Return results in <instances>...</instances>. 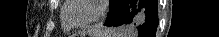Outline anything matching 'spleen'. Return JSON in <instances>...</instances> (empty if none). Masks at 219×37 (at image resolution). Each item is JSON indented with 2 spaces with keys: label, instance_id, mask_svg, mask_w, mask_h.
<instances>
[{
  "label": "spleen",
  "instance_id": "obj_1",
  "mask_svg": "<svg viewBox=\"0 0 219 37\" xmlns=\"http://www.w3.org/2000/svg\"><path fill=\"white\" fill-rule=\"evenodd\" d=\"M107 34L108 37H128L129 30L126 27H120L117 29H109Z\"/></svg>",
  "mask_w": 219,
  "mask_h": 37
}]
</instances>
